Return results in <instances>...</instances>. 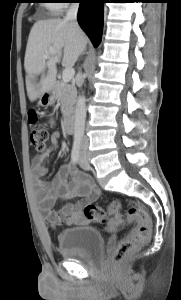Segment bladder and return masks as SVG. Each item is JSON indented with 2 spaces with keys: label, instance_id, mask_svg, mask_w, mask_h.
<instances>
[{
  "label": "bladder",
  "instance_id": "31cf9c89",
  "mask_svg": "<svg viewBox=\"0 0 181 300\" xmlns=\"http://www.w3.org/2000/svg\"><path fill=\"white\" fill-rule=\"evenodd\" d=\"M58 246L60 254L67 259L90 261L101 255L104 238L96 228L75 226L60 233Z\"/></svg>",
  "mask_w": 181,
  "mask_h": 300
}]
</instances>
